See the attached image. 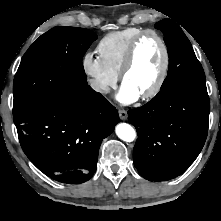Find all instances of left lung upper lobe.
Returning a JSON list of instances; mask_svg holds the SVG:
<instances>
[{"label":"left lung upper lobe","mask_w":221,"mask_h":221,"mask_svg":"<svg viewBox=\"0 0 221 221\" xmlns=\"http://www.w3.org/2000/svg\"><path fill=\"white\" fill-rule=\"evenodd\" d=\"M164 34L169 56V69L160 90L171 85H187L206 89V78L192 45L182 29L171 19L155 25Z\"/></svg>","instance_id":"1"}]
</instances>
